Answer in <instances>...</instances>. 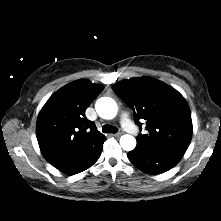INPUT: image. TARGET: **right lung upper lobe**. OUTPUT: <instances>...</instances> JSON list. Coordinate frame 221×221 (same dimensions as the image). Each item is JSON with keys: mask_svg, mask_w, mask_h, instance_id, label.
Here are the masks:
<instances>
[{"mask_svg": "<svg viewBox=\"0 0 221 221\" xmlns=\"http://www.w3.org/2000/svg\"><path fill=\"white\" fill-rule=\"evenodd\" d=\"M104 89L81 79L55 92L41 109L36 136L44 158L69 175L84 171L100 156L106 140L85 110Z\"/></svg>", "mask_w": 221, "mask_h": 221, "instance_id": "cb5924a9", "label": "right lung upper lobe"}]
</instances>
